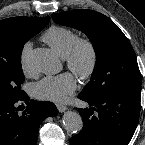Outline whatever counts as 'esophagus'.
<instances>
[{"instance_id":"1","label":"esophagus","mask_w":145,"mask_h":145,"mask_svg":"<svg viewBox=\"0 0 145 145\" xmlns=\"http://www.w3.org/2000/svg\"><path fill=\"white\" fill-rule=\"evenodd\" d=\"M57 109H58L59 112L62 113L64 111H66L67 107L64 106V105H61V104H57Z\"/></svg>"}]
</instances>
